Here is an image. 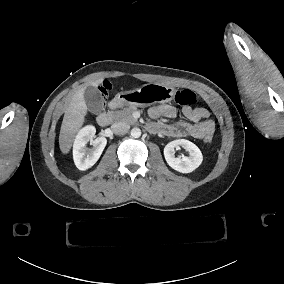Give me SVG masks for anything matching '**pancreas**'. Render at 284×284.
<instances>
[{"label": "pancreas", "instance_id": "cf45deb5", "mask_svg": "<svg viewBox=\"0 0 284 284\" xmlns=\"http://www.w3.org/2000/svg\"><path fill=\"white\" fill-rule=\"evenodd\" d=\"M136 106H128L118 111H109L108 114H111L115 121H122L130 125L138 124L137 119L133 117V113L137 111Z\"/></svg>", "mask_w": 284, "mask_h": 284}]
</instances>
